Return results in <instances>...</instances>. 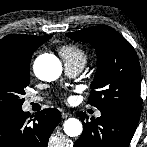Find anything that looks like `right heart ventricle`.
<instances>
[{"instance_id": "1", "label": "right heart ventricle", "mask_w": 147, "mask_h": 147, "mask_svg": "<svg viewBox=\"0 0 147 147\" xmlns=\"http://www.w3.org/2000/svg\"><path fill=\"white\" fill-rule=\"evenodd\" d=\"M59 53L65 64H78L83 67L87 61L86 51L78 45L68 44L61 46Z\"/></svg>"}]
</instances>
